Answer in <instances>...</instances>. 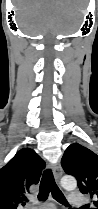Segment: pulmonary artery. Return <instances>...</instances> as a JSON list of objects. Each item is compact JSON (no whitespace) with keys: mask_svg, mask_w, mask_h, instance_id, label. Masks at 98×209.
Instances as JSON below:
<instances>
[{"mask_svg":"<svg viewBox=\"0 0 98 209\" xmlns=\"http://www.w3.org/2000/svg\"><path fill=\"white\" fill-rule=\"evenodd\" d=\"M84 200V197L79 192H71L68 195V201L73 206L82 205L84 203ZM28 209H55V206L53 204L47 203L36 207H30Z\"/></svg>","mask_w":98,"mask_h":209,"instance_id":"e3ab8cb5","label":"pulmonary artery"}]
</instances>
